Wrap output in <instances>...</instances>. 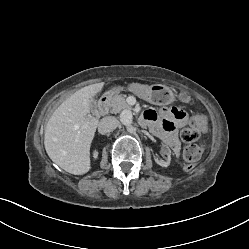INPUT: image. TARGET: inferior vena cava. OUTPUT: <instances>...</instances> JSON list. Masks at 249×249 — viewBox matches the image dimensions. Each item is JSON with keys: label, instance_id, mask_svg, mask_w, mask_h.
I'll use <instances>...</instances> for the list:
<instances>
[{"label": "inferior vena cava", "instance_id": "inferior-vena-cava-1", "mask_svg": "<svg viewBox=\"0 0 249 249\" xmlns=\"http://www.w3.org/2000/svg\"><path fill=\"white\" fill-rule=\"evenodd\" d=\"M118 125L119 121L115 117H105L100 121L98 125V132L104 135L116 129Z\"/></svg>", "mask_w": 249, "mask_h": 249}]
</instances>
